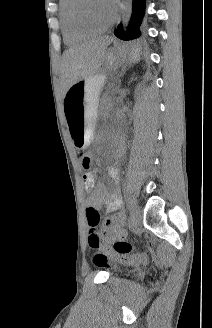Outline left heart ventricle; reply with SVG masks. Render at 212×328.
Listing matches in <instances>:
<instances>
[{"mask_svg":"<svg viewBox=\"0 0 212 328\" xmlns=\"http://www.w3.org/2000/svg\"><path fill=\"white\" fill-rule=\"evenodd\" d=\"M114 9L105 0H89L86 5L88 17L99 25H104L110 21Z\"/></svg>","mask_w":212,"mask_h":328,"instance_id":"b2bd125f","label":"left heart ventricle"}]
</instances>
